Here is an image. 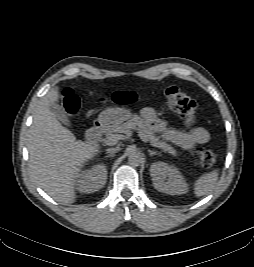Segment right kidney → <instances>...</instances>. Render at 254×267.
<instances>
[{"label": "right kidney", "instance_id": "1", "mask_svg": "<svg viewBox=\"0 0 254 267\" xmlns=\"http://www.w3.org/2000/svg\"><path fill=\"white\" fill-rule=\"evenodd\" d=\"M107 179V169L104 164H97L82 171L78 175L77 189L81 193H94L104 187Z\"/></svg>", "mask_w": 254, "mask_h": 267}]
</instances>
